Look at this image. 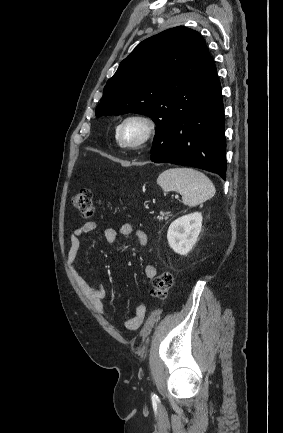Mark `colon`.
I'll use <instances>...</instances> for the list:
<instances>
[{
    "label": "colon",
    "mask_w": 283,
    "mask_h": 433,
    "mask_svg": "<svg viewBox=\"0 0 283 433\" xmlns=\"http://www.w3.org/2000/svg\"><path fill=\"white\" fill-rule=\"evenodd\" d=\"M73 208L79 213L83 218H89L92 216L94 211L93 196L92 192L88 188H81L72 197L71 200ZM173 286V275L169 271H164L155 277L152 288V297L163 300L169 294Z\"/></svg>",
    "instance_id": "1"
}]
</instances>
